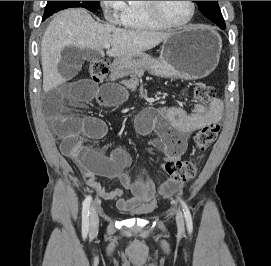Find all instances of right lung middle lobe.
I'll list each match as a JSON object with an SVG mask.
<instances>
[{
	"mask_svg": "<svg viewBox=\"0 0 271 266\" xmlns=\"http://www.w3.org/2000/svg\"><path fill=\"white\" fill-rule=\"evenodd\" d=\"M70 7H83L91 12H96L99 8V1H47L43 20L47 19L55 12Z\"/></svg>",
	"mask_w": 271,
	"mask_h": 266,
	"instance_id": "right-lung-middle-lobe-1",
	"label": "right lung middle lobe"
}]
</instances>
